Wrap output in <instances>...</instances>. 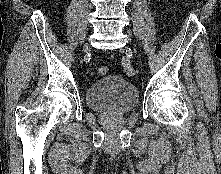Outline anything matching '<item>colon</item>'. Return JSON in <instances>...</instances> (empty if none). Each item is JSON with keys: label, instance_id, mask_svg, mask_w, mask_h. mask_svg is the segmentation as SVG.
I'll return each instance as SVG.
<instances>
[{"label": "colon", "instance_id": "1", "mask_svg": "<svg viewBox=\"0 0 221 174\" xmlns=\"http://www.w3.org/2000/svg\"><path fill=\"white\" fill-rule=\"evenodd\" d=\"M98 73L100 75H107L109 73V68L107 66H100L98 68Z\"/></svg>", "mask_w": 221, "mask_h": 174}]
</instances>
